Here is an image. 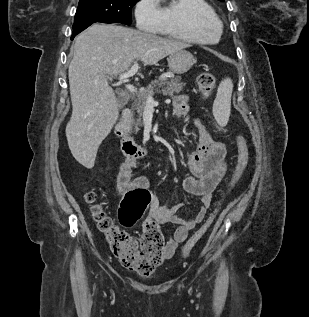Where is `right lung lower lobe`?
<instances>
[{
	"label": "right lung lower lobe",
	"mask_w": 309,
	"mask_h": 317,
	"mask_svg": "<svg viewBox=\"0 0 309 317\" xmlns=\"http://www.w3.org/2000/svg\"><path fill=\"white\" fill-rule=\"evenodd\" d=\"M91 24H93V22H90V23H85V24H82L78 27H75L73 28V33H72V36H71V40H73V38L78 34L80 33L81 31H83L84 29H86L87 27H89Z\"/></svg>",
	"instance_id": "98d812e1"
}]
</instances>
